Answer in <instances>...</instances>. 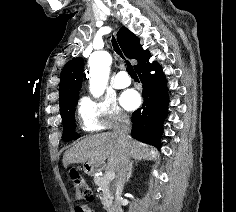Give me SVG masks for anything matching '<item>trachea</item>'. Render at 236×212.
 <instances>
[{
	"mask_svg": "<svg viewBox=\"0 0 236 212\" xmlns=\"http://www.w3.org/2000/svg\"><path fill=\"white\" fill-rule=\"evenodd\" d=\"M111 41H112V46H113L114 51H115L120 57H122V58L124 59V56H123V54H122V51H121V49H120V47H119V45H118V43H117V41H116V39H115L114 36L112 37V40H111ZM125 61H126V66H127V72H128V74L131 76V78H138V76H137V74H136V72H135L133 66L131 65V63H130L128 60H125Z\"/></svg>",
	"mask_w": 236,
	"mask_h": 212,
	"instance_id": "1",
	"label": "trachea"
}]
</instances>
